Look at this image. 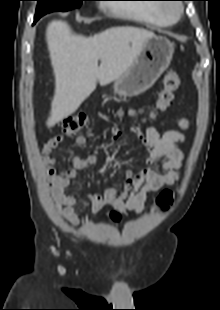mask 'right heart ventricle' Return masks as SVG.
I'll list each match as a JSON object with an SVG mask.
<instances>
[{
  "mask_svg": "<svg viewBox=\"0 0 220 310\" xmlns=\"http://www.w3.org/2000/svg\"><path fill=\"white\" fill-rule=\"evenodd\" d=\"M164 7L162 4H140L115 7L114 11L118 15L136 19L147 25L164 27L173 22L164 14Z\"/></svg>",
  "mask_w": 220,
  "mask_h": 310,
  "instance_id": "1",
  "label": "right heart ventricle"
}]
</instances>
